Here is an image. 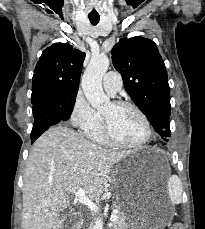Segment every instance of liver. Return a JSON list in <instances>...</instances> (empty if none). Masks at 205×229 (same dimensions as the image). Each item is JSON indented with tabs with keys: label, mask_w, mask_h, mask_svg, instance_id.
Here are the masks:
<instances>
[{
	"label": "liver",
	"mask_w": 205,
	"mask_h": 229,
	"mask_svg": "<svg viewBox=\"0 0 205 229\" xmlns=\"http://www.w3.org/2000/svg\"><path fill=\"white\" fill-rule=\"evenodd\" d=\"M130 152L109 150L67 126H54L34 143L26 163L22 229H61L60 214L80 188L99 199L114 164Z\"/></svg>",
	"instance_id": "obj_1"
}]
</instances>
